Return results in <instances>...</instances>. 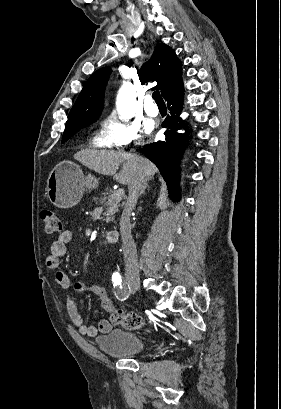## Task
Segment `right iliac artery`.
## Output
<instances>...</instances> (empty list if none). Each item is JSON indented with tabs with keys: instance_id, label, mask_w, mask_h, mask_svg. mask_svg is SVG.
Here are the masks:
<instances>
[{
	"instance_id": "1",
	"label": "right iliac artery",
	"mask_w": 281,
	"mask_h": 409,
	"mask_svg": "<svg viewBox=\"0 0 281 409\" xmlns=\"http://www.w3.org/2000/svg\"><path fill=\"white\" fill-rule=\"evenodd\" d=\"M113 286L117 288L115 291V296L117 299L124 301L130 295V287L129 285L122 284V277L120 275H113L112 276Z\"/></svg>"
}]
</instances>
